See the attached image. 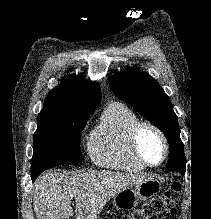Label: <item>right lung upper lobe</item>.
<instances>
[{
  "label": "right lung upper lobe",
  "mask_w": 211,
  "mask_h": 219,
  "mask_svg": "<svg viewBox=\"0 0 211 219\" xmlns=\"http://www.w3.org/2000/svg\"><path fill=\"white\" fill-rule=\"evenodd\" d=\"M100 100L101 89L96 82L71 76L49 92L42 111L56 116L91 114Z\"/></svg>",
  "instance_id": "1"
}]
</instances>
